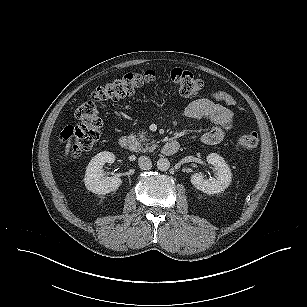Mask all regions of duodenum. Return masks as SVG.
Segmentation results:
<instances>
[{
    "mask_svg": "<svg viewBox=\"0 0 307 307\" xmlns=\"http://www.w3.org/2000/svg\"><path fill=\"white\" fill-rule=\"evenodd\" d=\"M119 145L124 150H131L134 147V140L130 136H122L119 140ZM179 149V143L176 140L166 142L162 147V154L171 156Z\"/></svg>",
    "mask_w": 307,
    "mask_h": 307,
    "instance_id": "1",
    "label": "duodenum"
}]
</instances>
